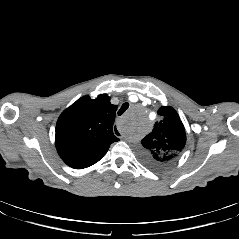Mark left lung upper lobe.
<instances>
[{"instance_id":"1","label":"left lung upper lobe","mask_w":239,"mask_h":239,"mask_svg":"<svg viewBox=\"0 0 239 239\" xmlns=\"http://www.w3.org/2000/svg\"><path fill=\"white\" fill-rule=\"evenodd\" d=\"M158 114L160 119L155 123L152 132L141 141V158L149 167L161 169L180 156L186 143V133L174 108L160 107Z\"/></svg>"}]
</instances>
